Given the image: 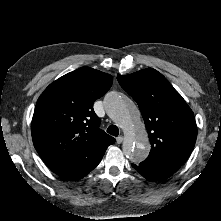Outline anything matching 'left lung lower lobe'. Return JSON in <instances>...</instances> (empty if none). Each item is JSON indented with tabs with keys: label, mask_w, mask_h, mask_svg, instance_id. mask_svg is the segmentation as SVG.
<instances>
[{
	"label": "left lung lower lobe",
	"mask_w": 221,
	"mask_h": 221,
	"mask_svg": "<svg viewBox=\"0 0 221 221\" xmlns=\"http://www.w3.org/2000/svg\"><path fill=\"white\" fill-rule=\"evenodd\" d=\"M143 177L149 181L164 180L170 177L173 173L170 171L149 167L145 165H132Z\"/></svg>",
	"instance_id": "obj_1"
}]
</instances>
